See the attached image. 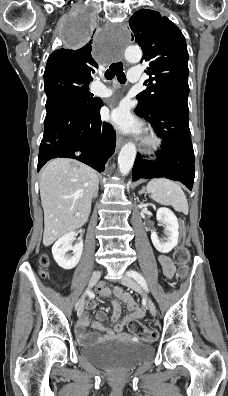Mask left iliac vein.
<instances>
[{"mask_svg": "<svg viewBox=\"0 0 228 396\" xmlns=\"http://www.w3.org/2000/svg\"><path fill=\"white\" fill-rule=\"evenodd\" d=\"M121 283L125 286H128L130 288H132L133 290H135L136 292L142 294L144 296V298L146 299L149 311L151 313L152 316H156L157 314V308L154 304V302L152 301V299L142 290V288L140 287V285L132 278L128 275L123 277L121 279Z\"/></svg>", "mask_w": 228, "mask_h": 396, "instance_id": "1", "label": "left iliac vein"}]
</instances>
